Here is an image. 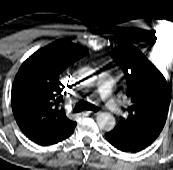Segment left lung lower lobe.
I'll return each mask as SVG.
<instances>
[{
  "label": "left lung lower lobe",
  "instance_id": "left-lung-lower-lobe-1",
  "mask_svg": "<svg viewBox=\"0 0 173 170\" xmlns=\"http://www.w3.org/2000/svg\"><path fill=\"white\" fill-rule=\"evenodd\" d=\"M105 137L109 143H111L115 148L123 152L136 153L145 149V148L134 146L130 144L129 142L123 140L120 136L114 135L111 132L106 133Z\"/></svg>",
  "mask_w": 173,
  "mask_h": 170
}]
</instances>
